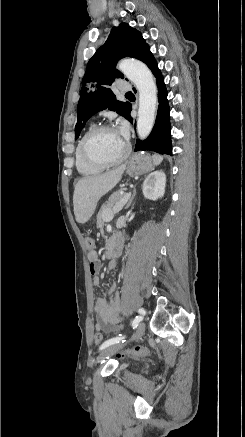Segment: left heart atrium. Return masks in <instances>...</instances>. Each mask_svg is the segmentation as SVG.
<instances>
[{
  "label": "left heart atrium",
  "instance_id": "39dd6f15",
  "mask_svg": "<svg viewBox=\"0 0 245 437\" xmlns=\"http://www.w3.org/2000/svg\"><path fill=\"white\" fill-rule=\"evenodd\" d=\"M118 133L121 135V137L126 141L128 137V130L125 124H121L118 129Z\"/></svg>",
  "mask_w": 245,
  "mask_h": 437
}]
</instances>
